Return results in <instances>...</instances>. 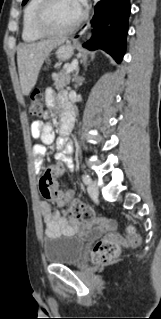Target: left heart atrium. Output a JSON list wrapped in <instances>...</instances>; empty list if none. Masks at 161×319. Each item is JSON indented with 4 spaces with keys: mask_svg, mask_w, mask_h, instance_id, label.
I'll use <instances>...</instances> for the list:
<instances>
[{
    "mask_svg": "<svg viewBox=\"0 0 161 319\" xmlns=\"http://www.w3.org/2000/svg\"><path fill=\"white\" fill-rule=\"evenodd\" d=\"M79 1V3H82L84 0H78Z\"/></svg>",
    "mask_w": 161,
    "mask_h": 319,
    "instance_id": "39dd6f15",
    "label": "left heart atrium"
}]
</instances>
